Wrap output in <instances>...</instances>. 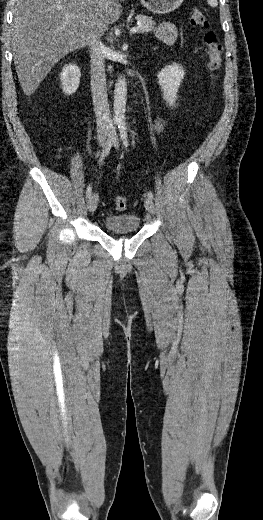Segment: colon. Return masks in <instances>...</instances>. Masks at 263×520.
Returning a JSON list of instances; mask_svg holds the SVG:
<instances>
[{
	"mask_svg": "<svg viewBox=\"0 0 263 520\" xmlns=\"http://www.w3.org/2000/svg\"><path fill=\"white\" fill-rule=\"evenodd\" d=\"M189 23L192 26L205 30L204 49L207 56V66L212 73L218 72L222 65V46L217 39L216 33L210 28L207 17L200 9L194 8L190 12ZM126 205L124 197L117 196L114 199V206L117 210H124Z\"/></svg>",
	"mask_w": 263,
	"mask_h": 520,
	"instance_id": "obj_1",
	"label": "colon"
}]
</instances>
